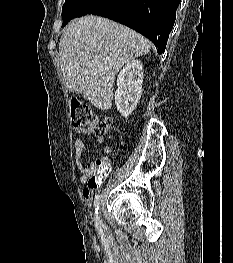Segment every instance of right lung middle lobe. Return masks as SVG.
Instances as JSON below:
<instances>
[{"label":"right lung middle lobe","instance_id":"dd1d6c3e","mask_svg":"<svg viewBox=\"0 0 233 263\" xmlns=\"http://www.w3.org/2000/svg\"><path fill=\"white\" fill-rule=\"evenodd\" d=\"M122 0H66L62 8V27L77 17L113 12Z\"/></svg>","mask_w":233,"mask_h":263}]
</instances>
